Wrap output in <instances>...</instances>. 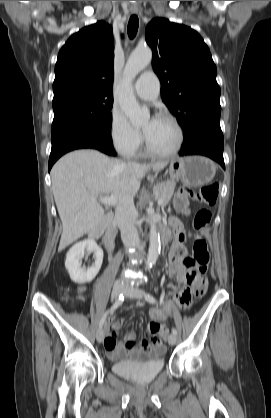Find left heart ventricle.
Segmentation results:
<instances>
[{"label":"left heart ventricle","mask_w":271,"mask_h":418,"mask_svg":"<svg viewBox=\"0 0 271 418\" xmlns=\"http://www.w3.org/2000/svg\"><path fill=\"white\" fill-rule=\"evenodd\" d=\"M142 129L151 147L160 152L171 150L177 142V131L173 124L164 119L156 118L152 123L147 119L142 124Z\"/></svg>","instance_id":"left-heart-ventricle-1"}]
</instances>
